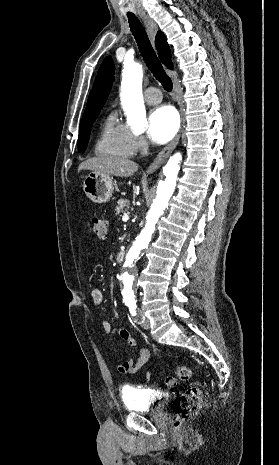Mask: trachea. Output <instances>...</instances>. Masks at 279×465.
Here are the masks:
<instances>
[{
	"mask_svg": "<svg viewBox=\"0 0 279 465\" xmlns=\"http://www.w3.org/2000/svg\"><path fill=\"white\" fill-rule=\"evenodd\" d=\"M128 21L131 32L137 42L140 52L152 72L153 76L162 84L166 91L172 90V80L164 71L159 62L154 49L151 46L147 33L135 15L128 14Z\"/></svg>",
	"mask_w": 279,
	"mask_h": 465,
	"instance_id": "trachea-1",
	"label": "trachea"
}]
</instances>
